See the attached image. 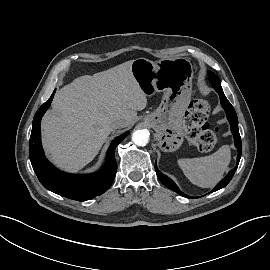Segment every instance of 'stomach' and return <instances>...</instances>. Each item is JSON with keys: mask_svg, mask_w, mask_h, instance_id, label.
<instances>
[{"mask_svg": "<svg viewBox=\"0 0 270 270\" xmlns=\"http://www.w3.org/2000/svg\"><path fill=\"white\" fill-rule=\"evenodd\" d=\"M132 75L146 95L163 92L159 107L144 121L156 132L158 146L165 152L176 151L183 143V117L191 100L193 67L182 57L153 62L133 60Z\"/></svg>", "mask_w": 270, "mask_h": 270, "instance_id": "stomach-1", "label": "stomach"}]
</instances>
